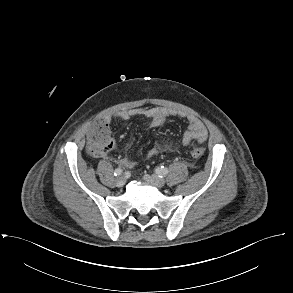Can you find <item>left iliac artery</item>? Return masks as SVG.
<instances>
[{"instance_id":"left-iliac-artery-1","label":"left iliac artery","mask_w":293,"mask_h":293,"mask_svg":"<svg viewBox=\"0 0 293 293\" xmlns=\"http://www.w3.org/2000/svg\"><path fill=\"white\" fill-rule=\"evenodd\" d=\"M155 172L159 175V177H164L168 174V169L161 166L156 168Z\"/></svg>"}]
</instances>
